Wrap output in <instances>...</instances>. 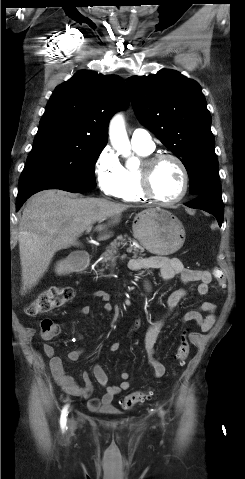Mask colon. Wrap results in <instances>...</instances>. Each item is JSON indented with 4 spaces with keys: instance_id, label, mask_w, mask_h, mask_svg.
Segmentation results:
<instances>
[{
    "instance_id": "obj_1",
    "label": "colon",
    "mask_w": 245,
    "mask_h": 479,
    "mask_svg": "<svg viewBox=\"0 0 245 479\" xmlns=\"http://www.w3.org/2000/svg\"><path fill=\"white\" fill-rule=\"evenodd\" d=\"M215 275L221 281L222 274L218 269L214 270ZM74 290L69 286H52L42 290L38 296L31 301L25 308V312L29 316H38L47 314L56 309L62 308L67 305L74 298ZM41 335L44 338H53L59 333L58 324L49 318L41 321ZM190 352V344L186 337V333H183L175 354V359L179 364H184L188 358ZM151 397L150 392L136 391L122 400V407L130 409L134 405L148 400Z\"/></svg>"
}]
</instances>
